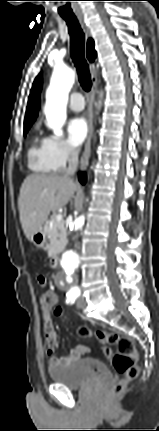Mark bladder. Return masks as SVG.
<instances>
[{"label": "bladder", "mask_w": 159, "mask_h": 431, "mask_svg": "<svg viewBox=\"0 0 159 431\" xmlns=\"http://www.w3.org/2000/svg\"><path fill=\"white\" fill-rule=\"evenodd\" d=\"M48 375L54 383L69 389H80L97 380L109 378L111 373L103 362L83 358L67 366L49 368Z\"/></svg>", "instance_id": "bladder-1"}]
</instances>
